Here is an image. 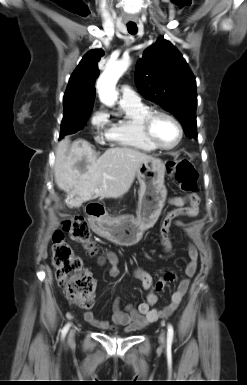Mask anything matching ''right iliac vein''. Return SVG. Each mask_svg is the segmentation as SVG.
Segmentation results:
<instances>
[{"mask_svg": "<svg viewBox=\"0 0 247 385\" xmlns=\"http://www.w3.org/2000/svg\"><path fill=\"white\" fill-rule=\"evenodd\" d=\"M73 337H74V331H71V332H70V335H69V340H72Z\"/></svg>", "mask_w": 247, "mask_h": 385, "instance_id": "obj_1", "label": "right iliac vein"}]
</instances>
